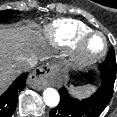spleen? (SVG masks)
<instances>
[{
  "label": "spleen",
  "instance_id": "3e777b00",
  "mask_svg": "<svg viewBox=\"0 0 117 117\" xmlns=\"http://www.w3.org/2000/svg\"><path fill=\"white\" fill-rule=\"evenodd\" d=\"M70 90L77 97L83 98V97L90 95L95 90V87L93 85H90V84L76 87V88L73 86H70Z\"/></svg>",
  "mask_w": 117,
  "mask_h": 117
}]
</instances>
